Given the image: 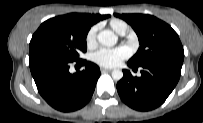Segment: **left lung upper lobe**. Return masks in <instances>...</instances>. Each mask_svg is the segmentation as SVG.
<instances>
[{
  "instance_id": "left-lung-upper-lobe-1",
  "label": "left lung upper lobe",
  "mask_w": 203,
  "mask_h": 123,
  "mask_svg": "<svg viewBox=\"0 0 203 123\" xmlns=\"http://www.w3.org/2000/svg\"><path fill=\"white\" fill-rule=\"evenodd\" d=\"M132 26L140 47L128 63L139 67L152 62H181L184 50L177 33L170 25L145 14H115Z\"/></svg>"
}]
</instances>
